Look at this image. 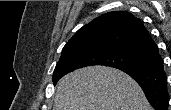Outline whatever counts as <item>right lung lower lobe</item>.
<instances>
[{"mask_svg":"<svg viewBox=\"0 0 171 110\" xmlns=\"http://www.w3.org/2000/svg\"><path fill=\"white\" fill-rule=\"evenodd\" d=\"M131 76L143 89L146 98L155 110H167L169 95L167 92V77L163 71V59L143 69L122 70Z\"/></svg>","mask_w":171,"mask_h":110,"instance_id":"obj_1","label":"right lung lower lobe"}]
</instances>
